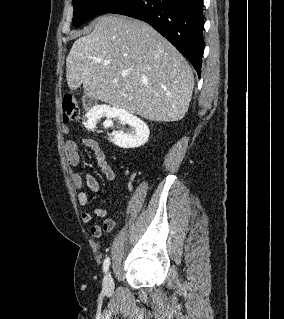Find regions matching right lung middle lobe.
Wrapping results in <instances>:
<instances>
[{
  "label": "right lung middle lobe",
  "instance_id": "right-lung-middle-lobe-1",
  "mask_svg": "<svg viewBox=\"0 0 284 319\" xmlns=\"http://www.w3.org/2000/svg\"><path fill=\"white\" fill-rule=\"evenodd\" d=\"M129 0H72L74 6L73 25L85 23L90 18L120 7Z\"/></svg>",
  "mask_w": 284,
  "mask_h": 319
}]
</instances>
